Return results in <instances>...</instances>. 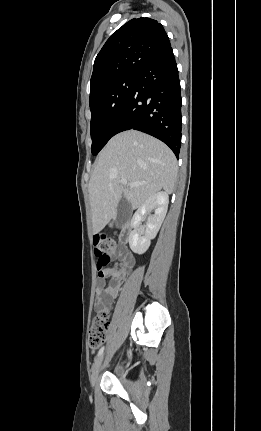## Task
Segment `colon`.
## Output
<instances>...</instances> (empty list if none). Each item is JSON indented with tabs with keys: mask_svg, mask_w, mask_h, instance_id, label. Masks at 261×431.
I'll return each instance as SVG.
<instances>
[{
	"mask_svg": "<svg viewBox=\"0 0 261 431\" xmlns=\"http://www.w3.org/2000/svg\"><path fill=\"white\" fill-rule=\"evenodd\" d=\"M95 255L98 259V275L103 274L105 266L110 262L111 254L116 247L114 240L105 234H98L94 237ZM109 328L107 312L98 313L92 320L88 342L92 349H97L105 340Z\"/></svg>",
	"mask_w": 261,
	"mask_h": 431,
	"instance_id": "colon-1",
	"label": "colon"
}]
</instances>
